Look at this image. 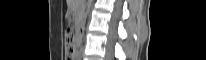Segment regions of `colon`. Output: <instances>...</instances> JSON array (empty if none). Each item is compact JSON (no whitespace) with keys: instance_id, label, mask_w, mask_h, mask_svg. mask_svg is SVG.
I'll return each mask as SVG.
<instances>
[{"instance_id":"colon-1","label":"colon","mask_w":206,"mask_h":60,"mask_svg":"<svg viewBox=\"0 0 206 60\" xmlns=\"http://www.w3.org/2000/svg\"><path fill=\"white\" fill-rule=\"evenodd\" d=\"M66 38L68 40V53H69V55H72L74 48H73V44H72L73 32H72L71 28H67Z\"/></svg>"}]
</instances>
